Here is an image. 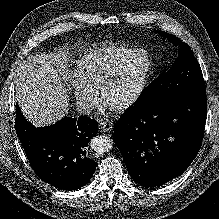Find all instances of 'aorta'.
Instances as JSON below:
<instances>
[{
	"mask_svg": "<svg viewBox=\"0 0 219 219\" xmlns=\"http://www.w3.org/2000/svg\"><path fill=\"white\" fill-rule=\"evenodd\" d=\"M90 146L96 153L102 154L112 149L113 141L106 135H100L91 140Z\"/></svg>",
	"mask_w": 219,
	"mask_h": 219,
	"instance_id": "aorta-1",
	"label": "aorta"
}]
</instances>
